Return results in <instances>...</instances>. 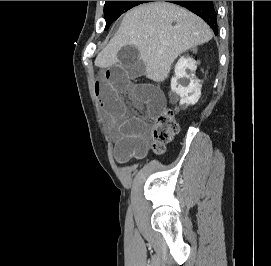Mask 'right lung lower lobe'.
Instances as JSON below:
<instances>
[{
    "label": "right lung lower lobe",
    "mask_w": 271,
    "mask_h": 266,
    "mask_svg": "<svg viewBox=\"0 0 271 266\" xmlns=\"http://www.w3.org/2000/svg\"><path fill=\"white\" fill-rule=\"evenodd\" d=\"M190 10L205 20L217 35V14L213 1H167Z\"/></svg>",
    "instance_id": "98d812e1"
}]
</instances>
